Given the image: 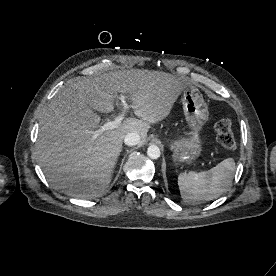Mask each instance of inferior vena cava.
Returning a JSON list of instances; mask_svg holds the SVG:
<instances>
[{
    "mask_svg": "<svg viewBox=\"0 0 276 276\" xmlns=\"http://www.w3.org/2000/svg\"><path fill=\"white\" fill-rule=\"evenodd\" d=\"M124 143L127 146H135L140 143V135L136 132H130L125 136Z\"/></svg>",
    "mask_w": 276,
    "mask_h": 276,
    "instance_id": "inferior-vena-cava-1",
    "label": "inferior vena cava"
}]
</instances>
